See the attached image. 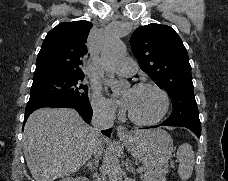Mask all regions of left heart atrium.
<instances>
[{
    "instance_id": "obj_1",
    "label": "left heart atrium",
    "mask_w": 228,
    "mask_h": 181,
    "mask_svg": "<svg viewBox=\"0 0 228 181\" xmlns=\"http://www.w3.org/2000/svg\"><path fill=\"white\" fill-rule=\"evenodd\" d=\"M122 105L125 108H129V99L127 97L123 100Z\"/></svg>"
}]
</instances>
